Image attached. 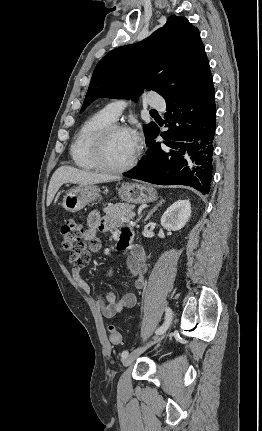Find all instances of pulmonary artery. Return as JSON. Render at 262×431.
Wrapping results in <instances>:
<instances>
[{"label":"pulmonary artery","instance_id":"obj_1","mask_svg":"<svg viewBox=\"0 0 262 431\" xmlns=\"http://www.w3.org/2000/svg\"><path fill=\"white\" fill-rule=\"evenodd\" d=\"M148 102L152 107H155L158 109L164 110L166 107L165 101L163 100V98L156 94L149 97ZM126 105H127L126 101L116 100L108 103L105 106L104 111L112 120L115 121L121 115Z\"/></svg>","mask_w":262,"mask_h":431}]
</instances>
